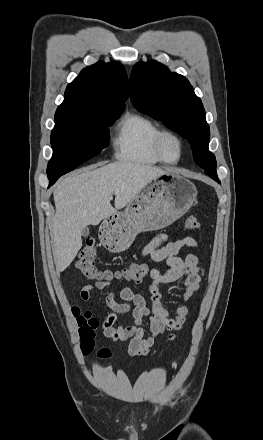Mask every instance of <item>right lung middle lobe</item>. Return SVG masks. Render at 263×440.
Here are the masks:
<instances>
[{"label":"right lung middle lobe","mask_w":263,"mask_h":440,"mask_svg":"<svg viewBox=\"0 0 263 440\" xmlns=\"http://www.w3.org/2000/svg\"><path fill=\"white\" fill-rule=\"evenodd\" d=\"M119 116V113H97L74 120H55L48 179L57 180L106 148L109 144L108 126Z\"/></svg>","instance_id":"1"}]
</instances>
